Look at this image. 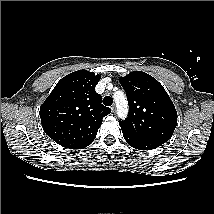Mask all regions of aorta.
I'll list each match as a JSON object with an SVG mask.
<instances>
[{"instance_id":"762f6f07","label":"aorta","mask_w":214,"mask_h":214,"mask_svg":"<svg viewBox=\"0 0 214 214\" xmlns=\"http://www.w3.org/2000/svg\"><path fill=\"white\" fill-rule=\"evenodd\" d=\"M114 101L117 107V115L120 119H125L128 114V101L122 91L114 93Z\"/></svg>"}]
</instances>
